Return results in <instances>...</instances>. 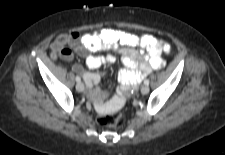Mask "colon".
Masks as SVG:
<instances>
[{
	"mask_svg": "<svg viewBox=\"0 0 225 155\" xmlns=\"http://www.w3.org/2000/svg\"><path fill=\"white\" fill-rule=\"evenodd\" d=\"M69 39V35H61L57 37L54 41L53 54L55 56H64L69 54V49L65 47ZM97 123L100 126L112 127V128H120L125 124V117L121 112L118 113H109L105 111L101 116L97 119Z\"/></svg>",
	"mask_w": 225,
	"mask_h": 155,
	"instance_id": "5ec220e1",
	"label": "colon"
}]
</instances>
